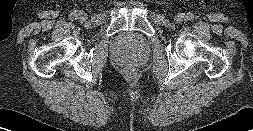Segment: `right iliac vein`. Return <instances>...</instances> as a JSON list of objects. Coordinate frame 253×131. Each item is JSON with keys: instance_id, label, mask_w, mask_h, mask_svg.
Segmentation results:
<instances>
[{"instance_id": "1", "label": "right iliac vein", "mask_w": 253, "mask_h": 131, "mask_svg": "<svg viewBox=\"0 0 253 131\" xmlns=\"http://www.w3.org/2000/svg\"><path fill=\"white\" fill-rule=\"evenodd\" d=\"M77 16L80 20H85L87 18L86 13L83 11H80Z\"/></svg>"}]
</instances>
